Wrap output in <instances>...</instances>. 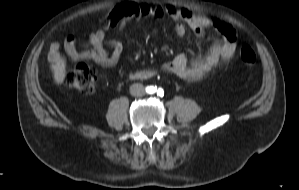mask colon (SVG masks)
<instances>
[{
    "label": "colon",
    "mask_w": 299,
    "mask_h": 190,
    "mask_svg": "<svg viewBox=\"0 0 299 190\" xmlns=\"http://www.w3.org/2000/svg\"><path fill=\"white\" fill-rule=\"evenodd\" d=\"M240 58L243 63L252 65L256 61V54L249 45H244L240 49ZM65 82L81 93L90 95L96 89V73L86 63H80L66 72Z\"/></svg>",
    "instance_id": "colon-1"
}]
</instances>
